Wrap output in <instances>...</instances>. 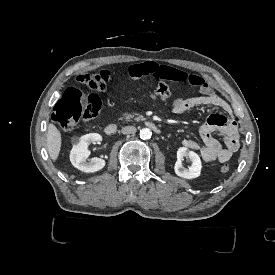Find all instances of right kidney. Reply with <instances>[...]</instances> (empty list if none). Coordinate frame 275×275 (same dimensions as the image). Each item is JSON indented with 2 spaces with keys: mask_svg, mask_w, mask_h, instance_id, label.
Listing matches in <instances>:
<instances>
[{
  "mask_svg": "<svg viewBox=\"0 0 275 275\" xmlns=\"http://www.w3.org/2000/svg\"><path fill=\"white\" fill-rule=\"evenodd\" d=\"M95 141H101V136L97 133L71 138L72 149L69 154V159L71 164L81 172L94 173L102 170L106 165L105 160L100 158H94L92 163L86 162V158L90 155L88 147Z\"/></svg>",
  "mask_w": 275,
  "mask_h": 275,
  "instance_id": "right-kidney-1",
  "label": "right kidney"
}]
</instances>
